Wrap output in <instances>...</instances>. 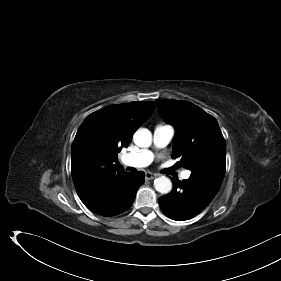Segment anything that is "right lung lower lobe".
Wrapping results in <instances>:
<instances>
[{
	"label": "right lung lower lobe",
	"mask_w": 281,
	"mask_h": 281,
	"mask_svg": "<svg viewBox=\"0 0 281 281\" xmlns=\"http://www.w3.org/2000/svg\"><path fill=\"white\" fill-rule=\"evenodd\" d=\"M145 181V173H123L99 187L94 194L82 200L94 213L114 216L126 211L133 203L138 188Z\"/></svg>",
	"instance_id": "1"
}]
</instances>
